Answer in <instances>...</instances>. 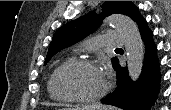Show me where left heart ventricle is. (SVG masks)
<instances>
[{
  "mask_svg": "<svg viewBox=\"0 0 171 110\" xmlns=\"http://www.w3.org/2000/svg\"><path fill=\"white\" fill-rule=\"evenodd\" d=\"M61 88L76 96H94L101 92L106 84L105 75L85 66H71L65 69L59 78Z\"/></svg>",
  "mask_w": 171,
  "mask_h": 110,
  "instance_id": "b2bd125f",
  "label": "left heart ventricle"
}]
</instances>
